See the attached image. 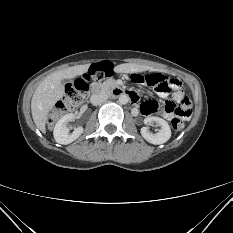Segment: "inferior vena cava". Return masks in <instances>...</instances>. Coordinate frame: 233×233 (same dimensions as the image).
<instances>
[{
	"instance_id": "1",
	"label": "inferior vena cava",
	"mask_w": 233,
	"mask_h": 233,
	"mask_svg": "<svg viewBox=\"0 0 233 233\" xmlns=\"http://www.w3.org/2000/svg\"><path fill=\"white\" fill-rule=\"evenodd\" d=\"M109 98L108 94L105 92H101L98 94H93L90 97V102L92 105H100L101 103L105 102Z\"/></svg>"
}]
</instances>
